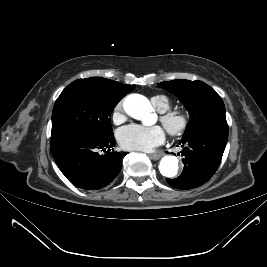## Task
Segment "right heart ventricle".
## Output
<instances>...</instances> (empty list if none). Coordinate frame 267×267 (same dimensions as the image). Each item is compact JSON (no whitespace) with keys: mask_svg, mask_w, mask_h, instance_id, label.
<instances>
[{"mask_svg":"<svg viewBox=\"0 0 267 267\" xmlns=\"http://www.w3.org/2000/svg\"><path fill=\"white\" fill-rule=\"evenodd\" d=\"M152 103L161 112H165L170 108L169 99L164 95H156L152 97Z\"/></svg>","mask_w":267,"mask_h":267,"instance_id":"obj_1","label":"right heart ventricle"}]
</instances>
